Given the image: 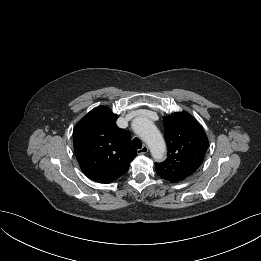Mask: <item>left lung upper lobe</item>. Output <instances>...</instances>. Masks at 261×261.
Returning a JSON list of instances; mask_svg holds the SVG:
<instances>
[{
	"label": "left lung upper lobe",
	"instance_id": "obj_1",
	"mask_svg": "<svg viewBox=\"0 0 261 261\" xmlns=\"http://www.w3.org/2000/svg\"><path fill=\"white\" fill-rule=\"evenodd\" d=\"M163 123L168 157L163 163H155V169L161 178L178 182L201 165L208 138L196 119L186 112L166 116Z\"/></svg>",
	"mask_w": 261,
	"mask_h": 261
}]
</instances>
